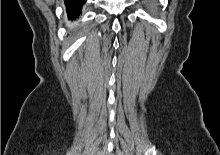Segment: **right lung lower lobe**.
I'll return each instance as SVG.
<instances>
[{"label":"right lung lower lobe","instance_id":"obj_1","mask_svg":"<svg viewBox=\"0 0 220 155\" xmlns=\"http://www.w3.org/2000/svg\"><path fill=\"white\" fill-rule=\"evenodd\" d=\"M68 17L73 20L80 15L85 0H65Z\"/></svg>","mask_w":220,"mask_h":155}]
</instances>
